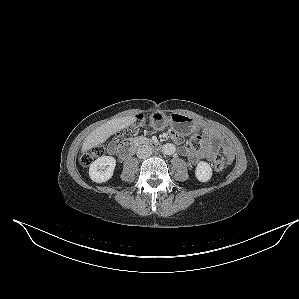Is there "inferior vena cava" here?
Returning a JSON list of instances; mask_svg holds the SVG:
<instances>
[{
    "mask_svg": "<svg viewBox=\"0 0 299 299\" xmlns=\"http://www.w3.org/2000/svg\"><path fill=\"white\" fill-rule=\"evenodd\" d=\"M152 155V149L148 145H141L137 149V157L140 159L148 158Z\"/></svg>",
    "mask_w": 299,
    "mask_h": 299,
    "instance_id": "1",
    "label": "inferior vena cava"
}]
</instances>
